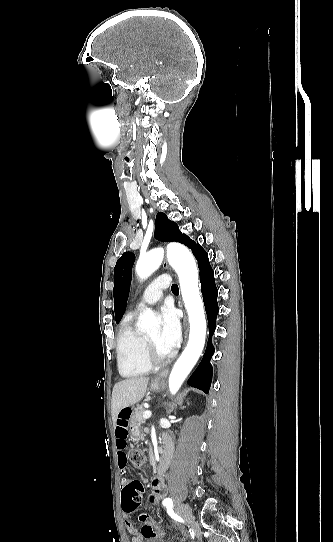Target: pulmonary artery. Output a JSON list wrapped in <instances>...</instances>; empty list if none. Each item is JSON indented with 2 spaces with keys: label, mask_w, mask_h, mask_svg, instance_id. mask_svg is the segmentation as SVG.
Wrapping results in <instances>:
<instances>
[{
  "label": "pulmonary artery",
  "mask_w": 333,
  "mask_h": 542,
  "mask_svg": "<svg viewBox=\"0 0 333 542\" xmlns=\"http://www.w3.org/2000/svg\"><path fill=\"white\" fill-rule=\"evenodd\" d=\"M169 278H170V273L169 272H164L163 275L162 274H157L155 276L154 284L150 285L149 289L146 288L144 290V292L142 293L141 298H140V300H139V302H138V304H137V306H136V308L134 310V313L137 314L144 307L151 306V305H154L157 302H159L163 298V295H164V292L160 291L159 287H161L163 285L162 287L165 289L166 287H172L173 286V281L172 280H167L166 283L164 282V279H169Z\"/></svg>",
  "instance_id": "obj_1"
}]
</instances>
